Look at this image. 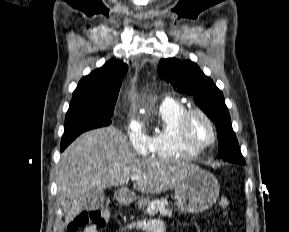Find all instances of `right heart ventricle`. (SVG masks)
<instances>
[{
	"instance_id": "1",
	"label": "right heart ventricle",
	"mask_w": 289,
	"mask_h": 232,
	"mask_svg": "<svg viewBox=\"0 0 289 232\" xmlns=\"http://www.w3.org/2000/svg\"><path fill=\"white\" fill-rule=\"evenodd\" d=\"M187 110L179 101L167 99L157 110L161 126L150 137V152L162 158H179L194 156L198 152L186 147L178 135V122Z\"/></svg>"
}]
</instances>
